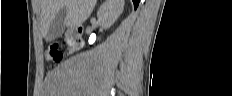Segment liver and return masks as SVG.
Returning a JSON list of instances; mask_svg holds the SVG:
<instances>
[{
  "label": "liver",
  "mask_w": 232,
  "mask_h": 96,
  "mask_svg": "<svg viewBox=\"0 0 232 96\" xmlns=\"http://www.w3.org/2000/svg\"><path fill=\"white\" fill-rule=\"evenodd\" d=\"M97 0H41V30L46 37L50 24L56 14L66 8L64 25L77 27L88 19Z\"/></svg>",
  "instance_id": "liver-1"
}]
</instances>
